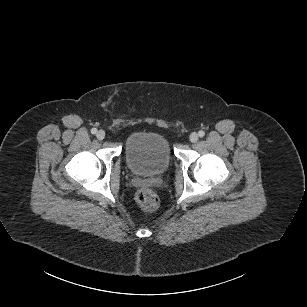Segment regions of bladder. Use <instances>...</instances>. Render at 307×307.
<instances>
[{
    "instance_id": "1",
    "label": "bladder",
    "mask_w": 307,
    "mask_h": 307,
    "mask_svg": "<svg viewBox=\"0 0 307 307\" xmlns=\"http://www.w3.org/2000/svg\"><path fill=\"white\" fill-rule=\"evenodd\" d=\"M172 157L168 138L157 132L138 131L125 144L128 168L137 175L152 176L163 173Z\"/></svg>"
}]
</instances>
